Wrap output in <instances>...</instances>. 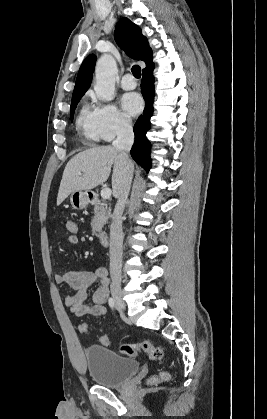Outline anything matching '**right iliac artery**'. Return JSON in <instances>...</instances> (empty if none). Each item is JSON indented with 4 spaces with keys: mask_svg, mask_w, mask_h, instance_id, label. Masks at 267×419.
<instances>
[{
    "mask_svg": "<svg viewBox=\"0 0 267 419\" xmlns=\"http://www.w3.org/2000/svg\"><path fill=\"white\" fill-rule=\"evenodd\" d=\"M108 303H109L110 308L113 310L114 307H115V302H114V299L112 297L109 298Z\"/></svg>",
    "mask_w": 267,
    "mask_h": 419,
    "instance_id": "1",
    "label": "right iliac artery"
}]
</instances>
